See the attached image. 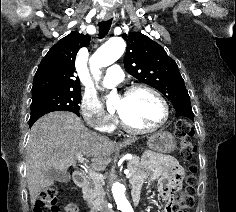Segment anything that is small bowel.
I'll use <instances>...</instances> for the list:
<instances>
[{"instance_id":"obj_1","label":"small bowel","mask_w":236,"mask_h":212,"mask_svg":"<svg viewBox=\"0 0 236 212\" xmlns=\"http://www.w3.org/2000/svg\"><path fill=\"white\" fill-rule=\"evenodd\" d=\"M182 169L176 160L168 155L152 154L145 163L144 169L133 180V190L140 191L145 181L159 178L161 180V194L167 200L165 212H173L171 189L180 183ZM61 212H79L75 204L66 205Z\"/></svg>"}]
</instances>
